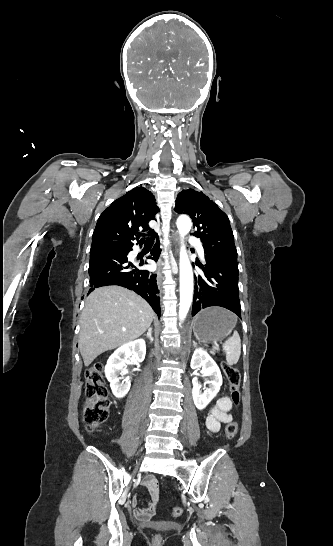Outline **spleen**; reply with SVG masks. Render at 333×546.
<instances>
[{"instance_id":"3e777b00","label":"spleen","mask_w":333,"mask_h":546,"mask_svg":"<svg viewBox=\"0 0 333 546\" xmlns=\"http://www.w3.org/2000/svg\"><path fill=\"white\" fill-rule=\"evenodd\" d=\"M233 316L237 321V317L234 314ZM213 349L218 350V345L215 344ZM223 349L225 350L227 364L229 366L237 364L241 355V340L237 331H234L233 335L225 341Z\"/></svg>"}]
</instances>
